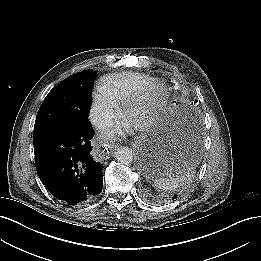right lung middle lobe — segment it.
<instances>
[{"label": "right lung middle lobe", "mask_w": 261, "mask_h": 261, "mask_svg": "<svg viewBox=\"0 0 261 261\" xmlns=\"http://www.w3.org/2000/svg\"><path fill=\"white\" fill-rule=\"evenodd\" d=\"M93 70H84L59 83L44 99L34 125V133L58 129L72 121L87 118Z\"/></svg>", "instance_id": "dd1d6c3e"}]
</instances>
